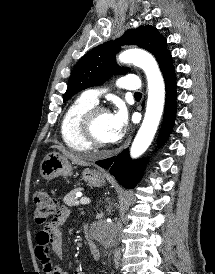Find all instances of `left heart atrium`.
I'll return each instance as SVG.
<instances>
[{
    "mask_svg": "<svg viewBox=\"0 0 215 274\" xmlns=\"http://www.w3.org/2000/svg\"><path fill=\"white\" fill-rule=\"evenodd\" d=\"M127 121V112L124 107H119L116 111L109 114L111 141H116L124 135L127 128Z\"/></svg>",
    "mask_w": 215,
    "mask_h": 274,
    "instance_id": "39dd6f15",
    "label": "left heart atrium"
}]
</instances>
